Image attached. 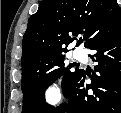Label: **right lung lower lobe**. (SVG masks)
Here are the masks:
<instances>
[{"mask_svg": "<svg viewBox=\"0 0 121 113\" xmlns=\"http://www.w3.org/2000/svg\"><path fill=\"white\" fill-rule=\"evenodd\" d=\"M96 50L92 83H86V73L82 69L70 78L64 95L68 105H62L51 113H121V30L90 47ZM92 89L94 94L89 95Z\"/></svg>", "mask_w": 121, "mask_h": 113, "instance_id": "right-lung-lower-lobe-1", "label": "right lung lower lobe"}]
</instances>
